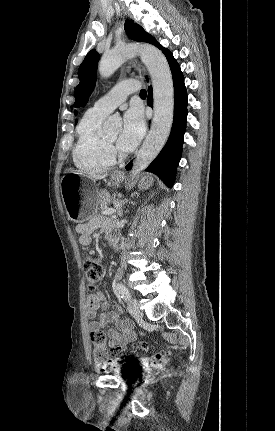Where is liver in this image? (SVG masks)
I'll return each instance as SVG.
<instances>
[{
  "label": "liver",
  "mask_w": 275,
  "mask_h": 431,
  "mask_svg": "<svg viewBox=\"0 0 275 431\" xmlns=\"http://www.w3.org/2000/svg\"><path fill=\"white\" fill-rule=\"evenodd\" d=\"M76 173L79 175H84L83 172H76ZM106 176H107L106 174H104V175L88 174V177H90L91 179H94V180L104 179Z\"/></svg>",
  "instance_id": "1"
}]
</instances>
